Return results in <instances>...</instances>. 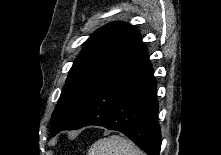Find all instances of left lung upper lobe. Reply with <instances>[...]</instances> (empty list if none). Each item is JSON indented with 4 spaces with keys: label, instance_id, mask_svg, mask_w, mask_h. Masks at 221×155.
Returning <instances> with one entry per match:
<instances>
[{
    "label": "left lung upper lobe",
    "instance_id": "left-lung-upper-lobe-1",
    "mask_svg": "<svg viewBox=\"0 0 221 155\" xmlns=\"http://www.w3.org/2000/svg\"><path fill=\"white\" fill-rule=\"evenodd\" d=\"M144 48L139 33L121 22L97 30L83 46L62 90L51 121V135L67 127L99 85Z\"/></svg>",
    "mask_w": 221,
    "mask_h": 155
}]
</instances>
